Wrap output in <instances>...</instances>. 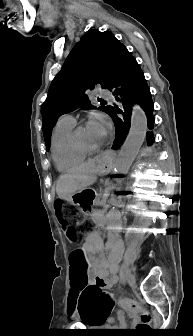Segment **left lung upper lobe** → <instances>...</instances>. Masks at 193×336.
I'll use <instances>...</instances> for the list:
<instances>
[{
  "mask_svg": "<svg viewBox=\"0 0 193 336\" xmlns=\"http://www.w3.org/2000/svg\"><path fill=\"white\" fill-rule=\"evenodd\" d=\"M125 48L112 34L96 29L88 31L75 45L53 79L42 106L47 149L50 147L52 128L61 115L79 107L93 108L86 99V92L98 84L105 89L110 87ZM99 110L109 114L111 107L103 105Z\"/></svg>",
  "mask_w": 193,
  "mask_h": 336,
  "instance_id": "1",
  "label": "left lung upper lobe"
}]
</instances>
